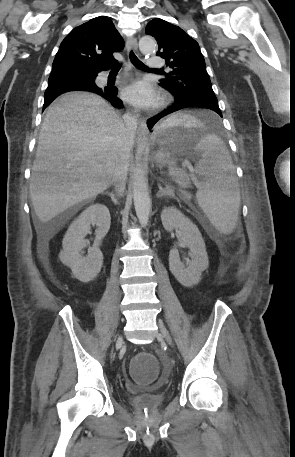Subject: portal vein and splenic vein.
Returning <instances> with one entry per match:
<instances>
[{
  "instance_id": "1",
  "label": "portal vein and splenic vein",
  "mask_w": 295,
  "mask_h": 457,
  "mask_svg": "<svg viewBox=\"0 0 295 457\" xmlns=\"http://www.w3.org/2000/svg\"><path fill=\"white\" fill-rule=\"evenodd\" d=\"M190 173L193 176V181L197 184V179L194 177L195 170L192 167H189Z\"/></svg>"
}]
</instances>
